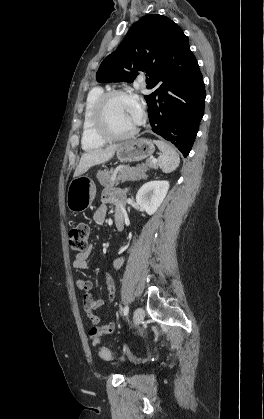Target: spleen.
I'll use <instances>...</instances> for the list:
<instances>
[{
    "instance_id": "3e777b00",
    "label": "spleen",
    "mask_w": 264,
    "mask_h": 419,
    "mask_svg": "<svg viewBox=\"0 0 264 419\" xmlns=\"http://www.w3.org/2000/svg\"><path fill=\"white\" fill-rule=\"evenodd\" d=\"M160 150L158 165L164 173L174 171L180 164V157L176 150L168 143L160 140L154 141Z\"/></svg>"
}]
</instances>
